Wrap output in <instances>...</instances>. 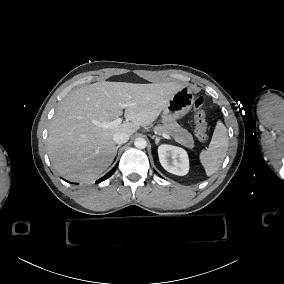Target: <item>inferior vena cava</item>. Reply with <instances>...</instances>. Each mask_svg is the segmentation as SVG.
Segmentation results:
<instances>
[{
  "mask_svg": "<svg viewBox=\"0 0 284 284\" xmlns=\"http://www.w3.org/2000/svg\"><path fill=\"white\" fill-rule=\"evenodd\" d=\"M117 144H124L130 139V135L125 132H118L113 137Z\"/></svg>",
  "mask_w": 284,
  "mask_h": 284,
  "instance_id": "inferior-vena-cava-1",
  "label": "inferior vena cava"
}]
</instances>
